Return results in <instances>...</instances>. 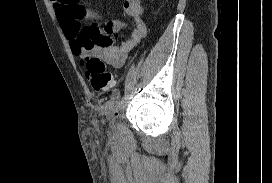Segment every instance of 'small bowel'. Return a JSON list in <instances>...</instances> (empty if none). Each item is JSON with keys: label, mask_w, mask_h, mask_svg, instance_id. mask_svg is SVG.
Masks as SVG:
<instances>
[{"label": "small bowel", "mask_w": 272, "mask_h": 183, "mask_svg": "<svg viewBox=\"0 0 272 183\" xmlns=\"http://www.w3.org/2000/svg\"><path fill=\"white\" fill-rule=\"evenodd\" d=\"M52 3L71 50L81 61L95 57L114 68H120L132 49L146 36L141 0L123 1L124 12L133 21L131 36L124 41L123 38H114L113 41L110 33L121 30L125 23L111 21L103 26L101 16L84 7L79 0H52Z\"/></svg>", "instance_id": "c3829d8e"}]
</instances>
